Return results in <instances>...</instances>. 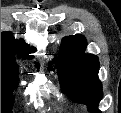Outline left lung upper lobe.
<instances>
[{
    "mask_svg": "<svg viewBox=\"0 0 121 113\" xmlns=\"http://www.w3.org/2000/svg\"><path fill=\"white\" fill-rule=\"evenodd\" d=\"M85 48L82 35L64 37L55 63L63 91L75 102L87 104L92 113H99L97 106L103 96L97 75L99 61L95 55L84 54Z\"/></svg>",
    "mask_w": 121,
    "mask_h": 113,
    "instance_id": "1",
    "label": "left lung upper lobe"
}]
</instances>
